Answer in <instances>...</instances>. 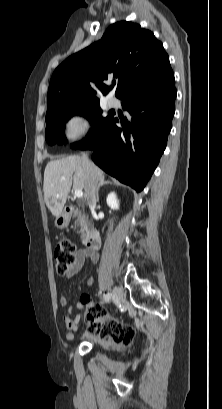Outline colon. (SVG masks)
Masks as SVG:
<instances>
[{
    "instance_id": "obj_1",
    "label": "colon",
    "mask_w": 222,
    "mask_h": 409,
    "mask_svg": "<svg viewBox=\"0 0 222 409\" xmlns=\"http://www.w3.org/2000/svg\"><path fill=\"white\" fill-rule=\"evenodd\" d=\"M75 245L67 240H60L54 251L55 271L58 276H65L75 260ZM104 310L97 304L89 305L87 321L96 338L113 339L118 344L127 345L134 337V330L129 325L115 320H104Z\"/></svg>"
}]
</instances>
